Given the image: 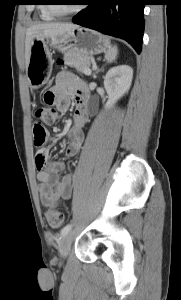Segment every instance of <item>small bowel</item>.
Returning <instances> with one entry per match:
<instances>
[{"label": "small bowel", "instance_id": "small-bowel-1", "mask_svg": "<svg viewBox=\"0 0 181 300\" xmlns=\"http://www.w3.org/2000/svg\"><path fill=\"white\" fill-rule=\"evenodd\" d=\"M49 92L55 97L53 105H56L62 113L68 110L71 97L75 101L76 109L68 132L69 142L65 153L68 158L76 157L84 141L82 129L89 118L87 110L89 95L86 85L78 76L60 72ZM38 154L45 158L42 166L36 164L37 178L40 181L39 193L43 204L50 205L61 199H69L74 181L73 171H65V164L61 160H48V147H43Z\"/></svg>", "mask_w": 181, "mask_h": 300}]
</instances>
